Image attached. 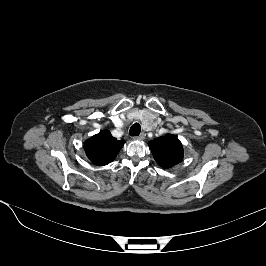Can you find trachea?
Segmentation results:
<instances>
[{"mask_svg": "<svg viewBox=\"0 0 266 266\" xmlns=\"http://www.w3.org/2000/svg\"><path fill=\"white\" fill-rule=\"evenodd\" d=\"M141 131V126L139 123H135L132 125V127L129 130V134L131 136H138L140 134Z\"/></svg>", "mask_w": 266, "mask_h": 266, "instance_id": "1", "label": "trachea"}]
</instances>
